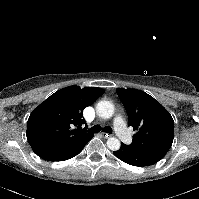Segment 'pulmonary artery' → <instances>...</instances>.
<instances>
[{
	"mask_svg": "<svg viewBox=\"0 0 199 199\" xmlns=\"http://www.w3.org/2000/svg\"><path fill=\"white\" fill-rule=\"evenodd\" d=\"M114 130L117 136L126 144H130L132 142V136L125 126L124 120L121 116H118L114 120Z\"/></svg>",
	"mask_w": 199,
	"mask_h": 199,
	"instance_id": "1",
	"label": "pulmonary artery"
}]
</instances>
